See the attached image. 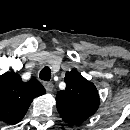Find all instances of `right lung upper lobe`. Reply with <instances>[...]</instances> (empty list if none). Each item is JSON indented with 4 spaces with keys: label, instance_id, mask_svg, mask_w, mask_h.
Masks as SVG:
<instances>
[{
    "label": "right lung upper lobe",
    "instance_id": "right-lung-upper-lobe-1",
    "mask_svg": "<svg viewBox=\"0 0 130 130\" xmlns=\"http://www.w3.org/2000/svg\"><path fill=\"white\" fill-rule=\"evenodd\" d=\"M43 94L45 89L35 78L23 82L17 73H4L0 76V120L10 125L18 123L33 99Z\"/></svg>",
    "mask_w": 130,
    "mask_h": 130
}]
</instances>
